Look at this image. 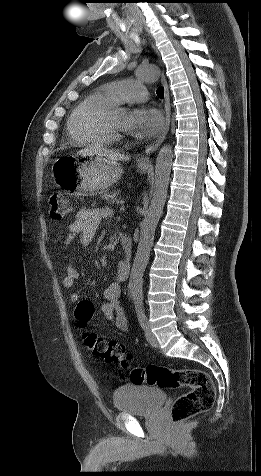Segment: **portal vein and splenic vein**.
Instances as JSON below:
<instances>
[{
	"label": "portal vein and splenic vein",
	"mask_w": 261,
	"mask_h": 476,
	"mask_svg": "<svg viewBox=\"0 0 261 476\" xmlns=\"http://www.w3.org/2000/svg\"><path fill=\"white\" fill-rule=\"evenodd\" d=\"M120 211L121 212L125 211V207L123 205L120 207Z\"/></svg>",
	"instance_id": "obj_1"
}]
</instances>
